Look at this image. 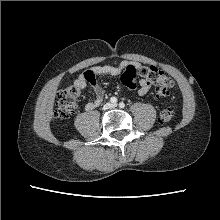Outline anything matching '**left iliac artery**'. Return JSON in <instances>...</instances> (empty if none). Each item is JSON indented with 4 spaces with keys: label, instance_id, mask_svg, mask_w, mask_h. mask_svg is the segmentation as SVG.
<instances>
[{
    "label": "left iliac artery",
    "instance_id": "obj_1",
    "mask_svg": "<svg viewBox=\"0 0 220 220\" xmlns=\"http://www.w3.org/2000/svg\"><path fill=\"white\" fill-rule=\"evenodd\" d=\"M119 107H120V108H124V107H125V104H124L123 102H120V103H119Z\"/></svg>",
    "mask_w": 220,
    "mask_h": 220
}]
</instances>
